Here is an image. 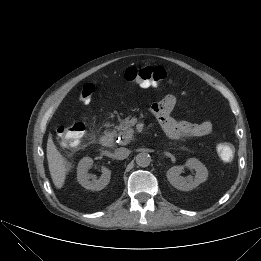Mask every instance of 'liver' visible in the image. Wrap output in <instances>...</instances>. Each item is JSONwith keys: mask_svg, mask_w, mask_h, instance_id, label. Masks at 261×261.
<instances>
[{"mask_svg": "<svg viewBox=\"0 0 261 261\" xmlns=\"http://www.w3.org/2000/svg\"><path fill=\"white\" fill-rule=\"evenodd\" d=\"M47 160L53 183L56 188L61 189L67 174L66 160L57 150L52 136H49L47 141Z\"/></svg>", "mask_w": 261, "mask_h": 261, "instance_id": "obj_1", "label": "liver"}]
</instances>
